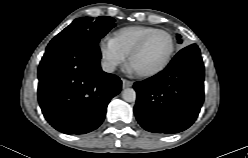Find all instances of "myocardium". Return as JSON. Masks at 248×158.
I'll list each match as a JSON object with an SVG mask.
<instances>
[{
  "label": "myocardium",
  "mask_w": 248,
  "mask_h": 158,
  "mask_svg": "<svg viewBox=\"0 0 248 158\" xmlns=\"http://www.w3.org/2000/svg\"><path fill=\"white\" fill-rule=\"evenodd\" d=\"M157 33H161V34H165L166 36H168V38L170 39V50L168 52V55L166 57V59L163 61L162 64H160L158 67L152 69V70H148V71H141V72H137L138 75L143 76V77H151L154 75H157L158 73L162 72L171 62L174 52H175V39L172 36L171 33H169L166 30L163 29H155L151 32H149L148 34H146L137 44L136 46L131 50V52L128 55V61L131 64L133 58L144 48V46L146 45L147 41L154 35Z\"/></svg>",
  "instance_id": "f54148a6"
}]
</instances>
